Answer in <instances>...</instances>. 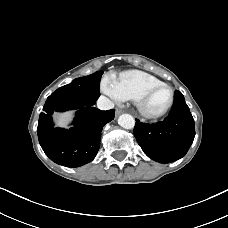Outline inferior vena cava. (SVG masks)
I'll use <instances>...</instances> for the list:
<instances>
[{
    "instance_id": "1",
    "label": "inferior vena cava",
    "mask_w": 228,
    "mask_h": 228,
    "mask_svg": "<svg viewBox=\"0 0 228 228\" xmlns=\"http://www.w3.org/2000/svg\"><path fill=\"white\" fill-rule=\"evenodd\" d=\"M97 107L101 110H109L114 108V103L105 96H100L97 100Z\"/></svg>"
}]
</instances>
